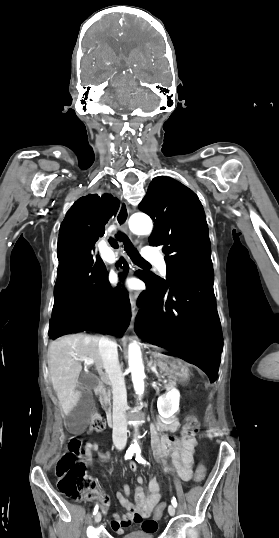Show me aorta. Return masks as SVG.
Segmentation results:
<instances>
[{
  "mask_svg": "<svg viewBox=\"0 0 279 538\" xmlns=\"http://www.w3.org/2000/svg\"><path fill=\"white\" fill-rule=\"evenodd\" d=\"M130 230L138 235H148L152 232L153 224L149 216L136 213L129 219ZM129 367L132 374L134 389L137 394L142 395L144 391V366L142 363L141 350L139 345L134 342L129 345ZM132 448H138L134 441Z\"/></svg>",
  "mask_w": 279,
  "mask_h": 538,
  "instance_id": "aorta-1",
  "label": "aorta"
}]
</instances>
